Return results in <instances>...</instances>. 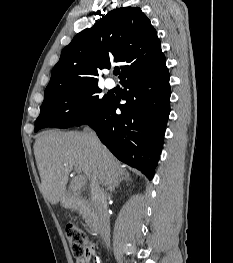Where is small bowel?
Masks as SVG:
<instances>
[{
    "label": "small bowel",
    "instance_id": "c3829d8e",
    "mask_svg": "<svg viewBox=\"0 0 233 263\" xmlns=\"http://www.w3.org/2000/svg\"><path fill=\"white\" fill-rule=\"evenodd\" d=\"M82 263H84V262H82ZM94 263H102V261H101L100 258L97 257V258L95 259Z\"/></svg>",
    "mask_w": 233,
    "mask_h": 263
}]
</instances>
